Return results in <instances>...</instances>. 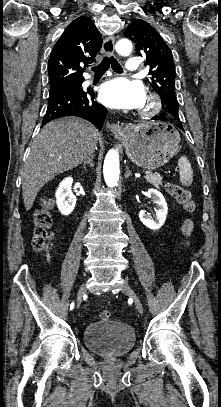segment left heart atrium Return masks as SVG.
<instances>
[{"instance_id":"39dd6f15","label":"left heart atrium","mask_w":221,"mask_h":407,"mask_svg":"<svg viewBox=\"0 0 221 407\" xmlns=\"http://www.w3.org/2000/svg\"><path fill=\"white\" fill-rule=\"evenodd\" d=\"M145 98L144 86L125 77L108 81L100 89L101 102L110 108H140L144 105Z\"/></svg>"}]
</instances>
